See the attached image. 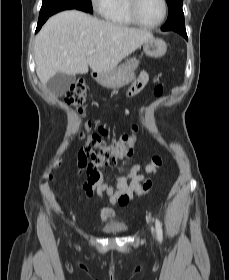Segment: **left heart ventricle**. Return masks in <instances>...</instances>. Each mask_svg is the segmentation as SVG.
I'll return each mask as SVG.
<instances>
[{"label":"left heart ventricle","mask_w":229,"mask_h":280,"mask_svg":"<svg viewBox=\"0 0 229 280\" xmlns=\"http://www.w3.org/2000/svg\"><path fill=\"white\" fill-rule=\"evenodd\" d=\"M138 16L145 23H156L163 13L161 0H139Z\"/></svg>","instance_id":"obj_1"}]
</instances>
